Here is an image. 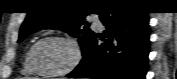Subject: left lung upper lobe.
<instances>
[{"mask_svg":"<svg viewBox=\"0 0 177 79\" xmlns=\"http://www.w3.org/2000/svg\"><path fill=\"white\" fill-rule=\"evenodd\" d=\"M37 2L35 10L28 13L22 24L18 42L41 29H59L78 37L82 53H84L95 35L88 29L89 24L85 21V16L89 13L84 10L90 8L96 10L95 13L100 14L108 3L115 1L85 0L68 3L69 1L41 0ZM68 4L76 5V7L71 10L64 9L63 7ZM84 25L85 27L82 28Z\"/></svg>","mask_w":177,"mask_h":79,"instance_id":"1","label":"left lung upper lobe"}]
</instances>
